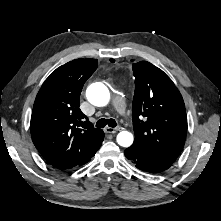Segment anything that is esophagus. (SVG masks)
<instances>
[{"instance_id": "1", "label": "esophagus", "mask_w": 221, "mask_h": 221, "mask_svg": "<svg viewBox=\"0 0 221 221\" xmlns=\"http://www.w3.org/2000/svg\"><path fill=\"white\" fill-rule=\"evenodd\" d=\"M119 130H120L119 128H112V127H106L104 129V131L106 133H110V134H114V133L118 132Z\"/></svg>"}]
</instances>
